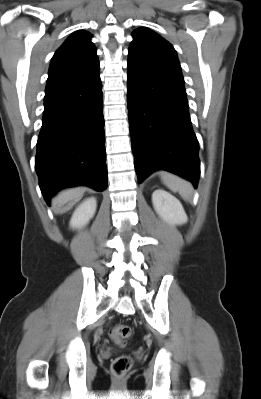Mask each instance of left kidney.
Listing matches in <instances>:
<instances>
[{
	"instance_id": "obj_1",
	"label": "left kidney",
	"mask_w": 261,
	"mask_h": 399,
	"mask_svg": "<svg viewBox=\"0 0 261 399\" xmlns=\"http://www.w3.org/2000/svg\"><path fill=\"white\" fill-rule=\"evenodd\" d=\"M152 203L157 214L167 223L182 225L188 217L180 201L162 189H157L152 194Z\"/></svg>"
}]
</instances>
